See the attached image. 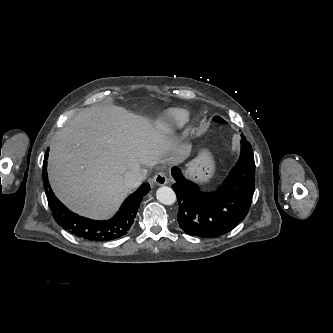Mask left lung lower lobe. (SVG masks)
<instances>
[{
    "mask_svg": "<svg viewBox=\"0 0 333 333\" xmlns=\"http://www.w3.org/2000/svg\"><path fill=\"white\" fill-rule=\"evenodd\" d=\"M241 154L226 180L212 192H202L173 167L172 186L179 204L178 223L191 236L213 238L226 234L247 215L255 189V161L251 144L241 135Z\"/></svg>",
    "mask_w": 333,
    "mask_h": 333,
    "instance_id": "left-lung-lower-lobe-1",
    "label": "left lung lower lobe"
}]
</instances>
